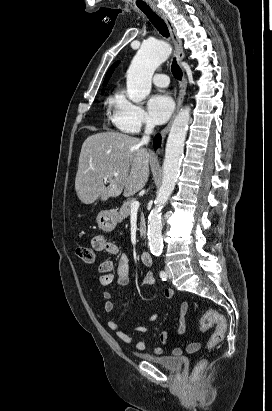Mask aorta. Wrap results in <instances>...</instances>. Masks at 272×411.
Masks as SVG:
<instances>
[{
    "mask_svg": "<svg viewBox=\"0 0 272 411\" xmlns=\"http://www.w3.org/2000/svg\"><path fill=\"white\" fill-rule=\"evenodd\" d=\"M170 52V45L164 41L142 44L127 71V95L132 102L140 103L149 95L154 71L167 60ZM189 119L190 108L181 109L172 123L166 143L162 184L148 216V241L155 256H159L163 249L161 210L168 202L180 173Z\"/></svg>",
    "mask_w": 272,
    "mask_h": 411,
    "instance_id": "1",
    "label": "aorta"
}]
</instances>
